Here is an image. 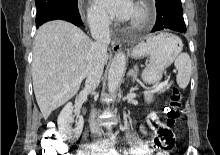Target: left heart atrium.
Segmentation results:
<instances>
[{
  "label": "left heart atrium",
  "mask_w": 220,
  "mask_h": 155,
  "mask_svg": "<svg viewBox=\"0 0 220 155\" xmlns=\"http://www.w3.org/2000/svg\"><path fill=\"white\" fill-rule=\"evenodd\" d=\"M95 2L99 8L120 20L129 19L134 9L132 0H95Z\"/></svg>",
  "instance_id": "1"
}]
</instances>
